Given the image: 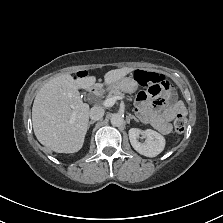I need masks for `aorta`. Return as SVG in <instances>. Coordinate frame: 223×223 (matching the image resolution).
I'll use <instances>...</instances> for the list:
<instances>
[{"mask_svg": "<svg viewBox=\"0 0 223 223\" xmlns=\"http://www.w3.org/2000/svg\"><path fill=\"white\" fill-rule=\"evenodd\" d=\"M111 124L114 126H121L124 122L121 114L115 113L110 117Z\"/></svg>", "mask_w": 223, "mask_h": 223, "instance_id": "1", "label": "aorta"}]
</instances>
